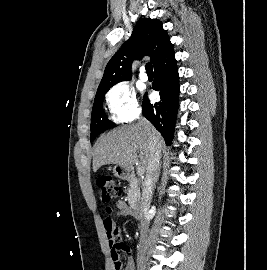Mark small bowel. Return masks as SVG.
<instances>
[{
  "label": "small bowel",
  "instance_id": "1",
  "mask_svg": "<svg viewBox=\"0 0 267 270\" xmlns=\"http://www.w3.org/2000/svg\"><path fill=\"white\" fill-rule=\"evenodd\" d=\"M115 207L118 210L119 215L129 216L131 214V209L128 207L126 202L122 200L117 201L115 203ZM108 213H110V210H108ZM105 229L111 248L112 263L116 258L120 259L121 253H124L127 256L125 270H135V262L132 257L131 249L128 245L120 241V231L116 227L110 214L105 219Z\"/></svg>",
  "mask_w": 267,
  "mask_h": 270
}]
</instances>
